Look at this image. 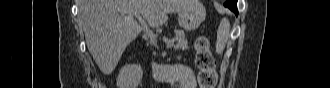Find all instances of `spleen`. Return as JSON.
<instances>
[{
    "instance_id": "obj_1",
    "label": "spleen",
    "mask_w": 330,
    "mask_h": 88,
    "mask_svg": "<svg viewBox=\"0 0 330 88\" xmlns=\"http://www.w3.org/2000/svg\"><path fill=\"white\" fill-rule=\"evenodd\" d=\"M230 36V23L227 18H223L217 30L216 52L222 54Z\"/></svg>"
}]
</instances>
